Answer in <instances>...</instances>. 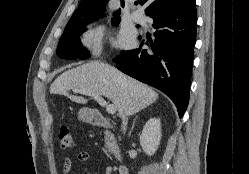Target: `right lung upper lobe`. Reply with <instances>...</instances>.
<instances>
[{"label": "right lung upper lobe", "mask_w": 249, "mask_h": 174, "mask_svg": "<svg viewBox=\"0 0 249 174\" xmlns=\"http://www.w3.org/2000/svg\"><path fill=\"white\" fill-rule=\"evenodd\" d=\"M109 0H81L78 8L73 13L68 24L78 23L82 21H91L99 19L102 13L105 11L106 4ZM190 0H139L141 5L147 3L148 6L145 9L147 15L153 12L170 7L176 4L185 3ZM121 6L124 7V0H121ZM121 10L118 9L114 17H118Z\"/></svg>", "instance_id": "right-lung-upper-lobe-1"}]
</instances>
